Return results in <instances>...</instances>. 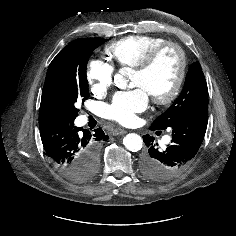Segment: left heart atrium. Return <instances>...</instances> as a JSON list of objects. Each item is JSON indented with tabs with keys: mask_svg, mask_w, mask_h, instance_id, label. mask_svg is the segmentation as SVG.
<instances>
[{
	"mask_svg": "<svg viewBox=\"0 0 236 236\" xmlns=\"http://www.w3.org/2000/svg\"><path fill=\"white\" fill-rule=\"evenodd\" d=\"M149 104L148 92L139 87L132 91L117 93L111 104L106 108L109 119L121 124H131L136 119V114L143 112Z\"/></svg>",
	"mask_w": 236,
	"mask_h": 236,
	"instance_id": "39dd6f15",
	"label": "left heart atrium"
}]
</instances>
